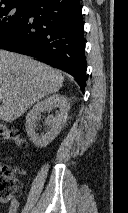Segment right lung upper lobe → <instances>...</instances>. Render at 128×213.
Segmentation results:
<instances>
[{
    "label": "right lung upper lobe",
    "instance_id": "1",
    "mask_svg": "<svg viewBox=\"0 0 128 213\" xmlns=\"http://www.w3.org/2000/svg\"><path fill=\"white\" fill-rule=\"evenodd\" d=\"M36 1L37 0H0V6L11 4L31 6Z\"/></svg>",
    "mask_w": 128,
    "mask_h": 213
}]
</instances>
